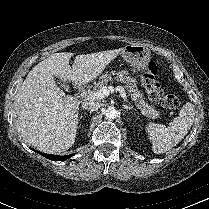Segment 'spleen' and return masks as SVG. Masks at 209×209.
Wrapping results in <instances>:
<instances>
[{
    "instance_id": "1",
    "label": "spleen",
    "mask_w": 209,
    "mask_h": 209,
    "mask_svg": "<svg viewBox=\"0 0 209 209\" xmlns=\"http://www.w3.org/2000/svg\"><path fill=\"white\" fill-rule=\"evenodd\" d=\"M195 117V108L191 103H186L179 111L170 126L149 123L147 133L152 142V150L156 154L165 153L176 146L190 130Z\"/></svg>"
}]
</instances>
